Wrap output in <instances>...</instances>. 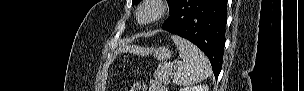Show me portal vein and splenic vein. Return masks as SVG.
<instances>
[{"instance_id": "portal-vein-and-splenic-vein-1", "label": "portal vein and splenic vein", "mask_w": 304, "mask_h": 91, "mask_svg": "<svg viewBox=\"0 0 304 91\" xmlns=\"http://www.w3.org/2000/svg\"><path fill=\"white\" fill-rule=\"evenodd\" d=\"M169 68H174V64L173 63H169L168 65H167Z\"/></svg>"}]
</instances>
